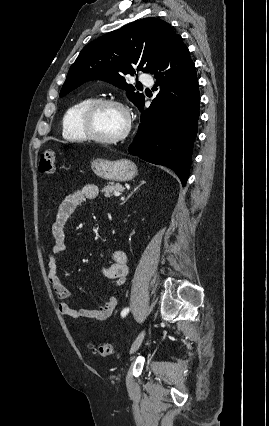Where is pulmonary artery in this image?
I'll list each match as a JSON object with an SVG mask.
<instances>
[{
	"instance_id": "1",
	"label": "pulmonary artery",
	"mask_w": 269,
	"mask_h": 426,
	"mask_svg": "<svg viewBox=\"0 0 269 426\" xmlns=\"http://www.w3.org/2000/svg\"><path fill=\"white\" fill-rule=\"evenodd\" d=\"M140 81L142 84L146 86H152L153 85V78L149 74H141L140 75Z\"/></svg>"
}]
</instances>
